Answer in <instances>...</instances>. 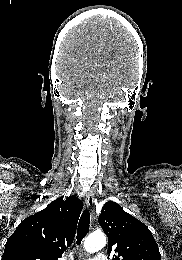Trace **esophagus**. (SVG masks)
Here are the masks:
<instances>
[{
    "label": "esophagus",
    "instance_id": "esophagus-1",
    "mask_svg": "<svg viewBox=\"0 0 182 260\" xmlns=\"http://www.w3.org/2000/svg\"><path fill=\"white\" fill-rule=\"evenodd\" d=\"M85 203L91 213V217L93 218L94 215V209H95V203H94V196L91 192H88L86 194Z\"/></svg>",
    "mask_w": 182,
    "mask_h": 260
}]
</instances>
